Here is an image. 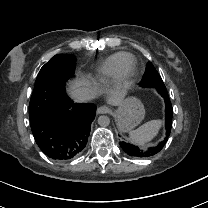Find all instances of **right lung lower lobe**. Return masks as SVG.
Instances as JSON below:
<instances>
[{
	"label": "right lung lower lobe",
	"instance_id": "obj_1",
	"mask_svg": "<svg viewBox=\"0 0 208 208\" xmlns=\"http://www.w3.org/2000/svg\"><path fill=\"white\" fill-rule=\"evenodd\" d=\"M62 62L51 64L34 87L29 109L31 130L42 152L54 160H70L84 149L95 118L93 103H73L59 74ZM43 70V69H42ZM61 80V81H60Z\"/></svg>",
	"mask_w": 208,
	"mask_h": 208
}]
</instances>
